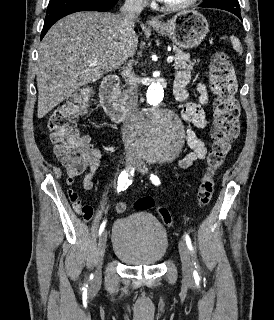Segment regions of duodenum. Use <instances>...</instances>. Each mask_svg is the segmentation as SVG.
Here are the masks:
<instances>
[{
	"mask_svg": "<svg viewBox=\"0 0 274 320\" xmlns=\"http://www.w3.org/2000/svg\"><path fill=\"white\" fill-rule=\"evenodd\" d=\"M120 85V78L117 75L107 77L100 88L101 104L106 113L115 121L122 122L127 116L128 112L122 105L118 96V88Z\"/></svg>",
	"mask_w": 274,
	"mask_h": 320,
	"instance_id": "410a0bca",
	"label": "duodenum"
}]
</instances>
